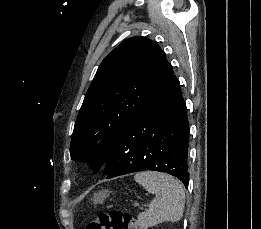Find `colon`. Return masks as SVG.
<instances>
[{"label": "colon", "mask_w": 261, "mask_h": 229, "mask_svg": "<svg viewBox=\"0 0 261 229\" xmlns=\"http://www.w3.org/2000/svg\"><path fill=\"white\" fill-rule=\"evenodd\" d=\"M133 216L124 210L102 211L90 220L86 229H136Z\"/></svg>", "instance_id": "colon-1"}]
</instances>
